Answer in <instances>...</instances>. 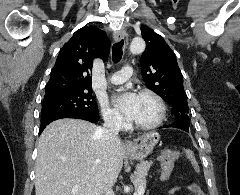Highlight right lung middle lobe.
Segmentation results:
<instances>
[{"instance_id":"obj_1","label":"right lung middle lobe","mask_w":240,"mask_h":195,"mask_svg":"<svg viewBox=\"0 0 240 195\" xmlns=\"http://www.w3.org/2000/svg\"><path fill=\"white\" fill-rule=\"evenodd\" d=\"M92 90H67L45 95L41 120L70 113L99 114Z\"/></svg>"}]
</instances>
